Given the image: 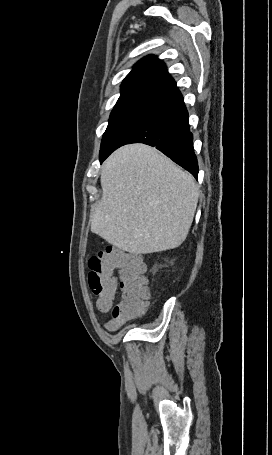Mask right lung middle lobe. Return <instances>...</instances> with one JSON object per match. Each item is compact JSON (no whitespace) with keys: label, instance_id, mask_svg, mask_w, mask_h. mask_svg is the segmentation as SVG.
Instances as JSON below:
<instances>
[{"label":"right lung middle lobe","instance_id":"1","mask_svg":"<svg viewBox=\"0 0 272 455\" xmlns=\"http://www.w3.org/2000/svg\"><path fill=\"white\" fill-rule=\"evenodd\" d=\"M165 104L158 101L131 99L117 102L114 106L108 127L103 135L100 157L132 127L142 122Z\"/></svg>","mask_w":272,"mask_h":455}]
</instances>
